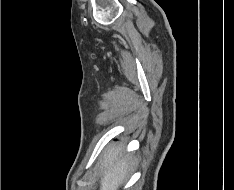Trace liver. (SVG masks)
<instances>
[{
	"label": "liver",
	"instance_id": "liver-1",
	"mask_svg": "<svg viewBox=\"0 0 234 190\" xmlns=\"http://www.w3.org/2000/svg\"><path fill=\"white\" fill-rule=\"evenodd\" d=\"M101 168L100 190H118L127 174L128 159L123 156L121 148L110 147L104 154Z\"/></svg>",
	"mask_w": 234,
	"mask_h": 190
}]
</instances>
